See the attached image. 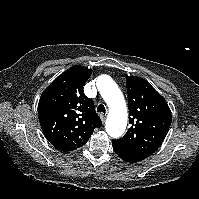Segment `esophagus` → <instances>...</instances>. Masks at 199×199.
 Listing matches in <instances>:
<instances>
[{
	"label": "esophagus",
	"mask_w": 199,
	"mask_h": 199,
	"mask_svg": "<svg viewBox=\"0 0 199 199\" xmlns=\"http://www.w3.org/2000/svg\"><path fill=\"white\" fill-rule=\"evenodd\" d=\"M100 118L102 120V122L104 123L106 121V116L103 114H100Z\"/></svg>",
	"instance_id": "obj_1"
}]
</instances>
